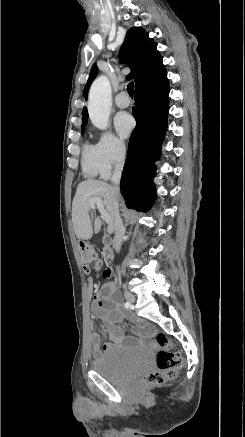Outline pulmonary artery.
<instances>
[{"instance_id":"e3ab8cb5","label":"pulmonary artery","mask_w":245,"mask_h":437,"mask_svg":"<svg viewBox=\"0 0 245 437\" xmlns=\"http://www.w3.org/2000/svg\"><path fill=\"white\" fill-rule=\"evenodd\" d=\"M115 104L119 108H126L130 105V99L125 92H121L116 96Z\"/></svg>"}]
</instances>
